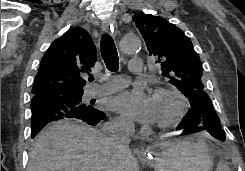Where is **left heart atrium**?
Listing matches in <instances>:
<instances>
[{"mask_svg": "<svg viewBox=\"0 0 245 171\" xmlns=\"http://www.w3.org/2000/svg\"><path fill=\"white\" fill-rule=\"evenodd\" d=\"M114 110L139 123L156 122L158 115L154 96L142 87L126 90L112 100Z\"/></svg>", "mask_w": 245, "mask_h": 171, "instance_id": "obj_1", "label": "left heart atrium"}]
</instances>
